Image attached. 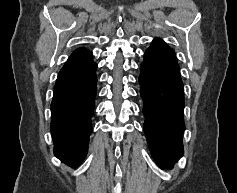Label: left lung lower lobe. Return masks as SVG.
<instances>
[{"label": "left lung lower lobe", "instance_id": "left-lung-lower-lobe-1", "mask_svg": "<svg viewBox=\"0 0 237 193\" xmlns=\"http://www.w3.org/2000/svg\"><path fill=\"white\" fill-rule=\"evenodd\" d=\"M144 132L157 165L169 168L183 155L184 88L174 50L154 39L140 66Z\"/></svg>", "mask_w": 237, "mask_h": 193}]
</instances>
